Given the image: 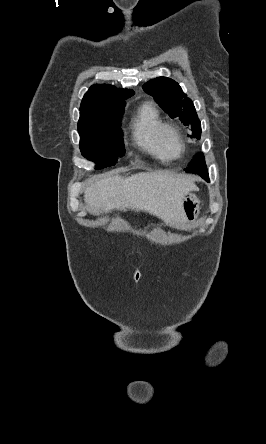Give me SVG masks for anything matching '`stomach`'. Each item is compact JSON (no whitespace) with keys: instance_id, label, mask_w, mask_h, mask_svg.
<instances>
[{"instance_id":"0dacf381","label":"stomach","mask_w":266,"mask_h":444,"mask_svg":"<svg viewBox=\"0 0 266 444\" xmlns=\"http://www.w3.org/2000/svg\"><path fill=\"white\" fill-rule=\"evenodd\" d=\"M200 201L195 194L187 193L182 201L183 224L185 226L192 225L199 214Z\"/></svg>"}]
</instances>
